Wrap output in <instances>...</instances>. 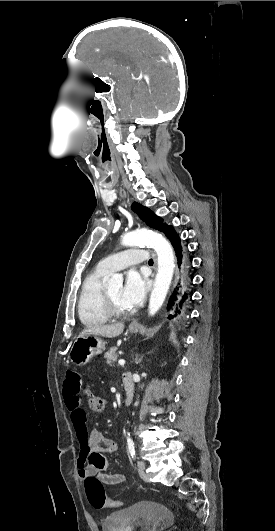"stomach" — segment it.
<instances>
[{
    "label": "stomach",
    "mask_w": 275,
    "mask_h": 531,
    "mask_svg": "<svg viewBox=\"0 0 275 531\" xmlns=\"http://www.w3.org/2000/svg\"><path fill=\"white\" fill-rule=\"evenodd\" d=\"M138 329L139 325L137 329H131V327H129L130 333H137ZM105 345V341L100 339V337H97V335L77 337L68 353V358L73 365L81 367V365L89 363L94 355H101L106 349Z\"/></svg>",
    "instance_id": "stomach-1"
}]
</instances>
